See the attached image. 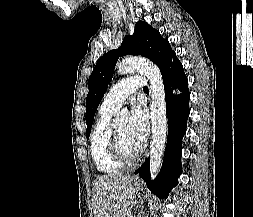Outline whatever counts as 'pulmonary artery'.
<instances>
[{"label": "pulmonary artery", "instance_id": "pulmonary-artery-1", "mask_svg": "<svg viewBox=\"0 0 253 217\" xmlns=\"http://www.w3.org/2000/svg\"><path fill=\"white\" fill-rule=\"evenodd\" d=\"M145 78L131 76L115 84L106 94L101 108L111 111L118 110L122 103L135 91L143 88Z\"/></svg>", "mask_w": 253, "mask_h": 217}]
</instances>
